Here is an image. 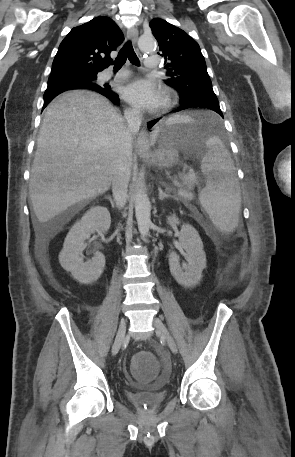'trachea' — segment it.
I'll return each mask as SVG.
<instances>
[{
    "label": "trachea",
    "instance_id": "1",
    "mask_svg": "<svg viewBox=\"0 0 295 457\" xmlns=\"http://www.w3.org/2000/svg\"><path fill=\"white\" fill-rule=\"evenodd\" d=\"M129 59V61L136 66L140 65V61L134 52L133 46L131 41H127L122 49L120 50L118 57L113 61L114 65V70H119L126 62V60Z\"/></svg>",
    "mask_w": 295,
    "mask_h": 457
}]
</instances>
